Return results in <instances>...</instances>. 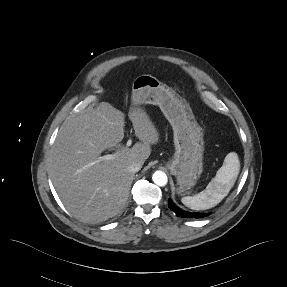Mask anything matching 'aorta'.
<instances>
[{"label": "aorta", "mask_w": 287, "mask_h": 287, "mask_svg": "<svg viewBox=\"0 0 287 287\" xmlns=\"http://www.w3.org/2000/svg\"><path fill=\"white\" fill-rule=\"evenodd\" d=\"M153 182L158 186H165L168 182L167 175L163 171H156L152 175Z\"/></svg>", "instance_id": "1"}]
</instances>
